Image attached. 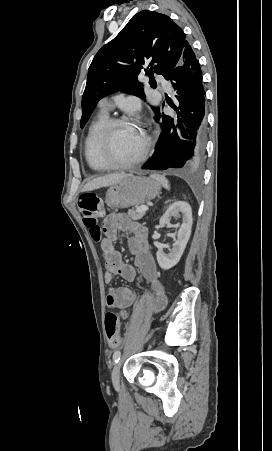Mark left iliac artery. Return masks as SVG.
Returning a JSON list of instances; mask_svg holds the SVG:
<instances>
[{
  "instance_id": "44dca946",
  "label": "left iliac artery",
  "mask_w": 272,
  "mask_h": 451,
  "mask_svg": "<svg viewBox=\"0 0 272 451\" xmlns=\"http://www.w3.org/2000/svg\"><path fill=\"white\" fill-rule=\"evenodd\" d=\"M120 357H121V352H120V351H116V352L113 354V360H114V362L117 363V362L120 360Z\"/></svg>"
}]
</instances>
